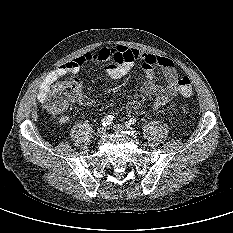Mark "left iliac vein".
Instances as JSON below:
<instances>
[{
    "label": "left iliac vein",
    "instance_id": "obj_1",
    "mask_svg": "<svg viewBox=\"0 0 233 233\" xmlns=\"http://www.w3.org/2000/svg\"><path fill=\"white\" fill-rule=\"evenodd\" d=\"M128 128V127H127ZM126 127H124L123 125H120V124H117L114 126V129L116 132H123L124 130L127 129ZM130 131L133 133V134H136V131L132 128H130Z\"/></svg>",
    "mask_w": 233,
    "mask_h": 233
}]
</instances>
